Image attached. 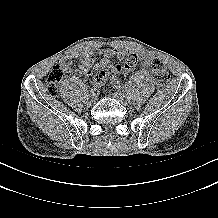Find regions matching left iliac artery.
I'll return each instance as SVG.
<instances>
[{
	"label": "left iliac artery",
	"instance_id": "left-iliac-artery-1",
	"mask_svg": "<svg viewBox=\"0 0 218 218\" xmlns=\"http://www.w3.org/2000/svg\"><path fill=\"white\" fill-rule=\"evenodd\" d=\"M116 88H118V90H120V93H126V88H123V85H116Z\"/></svg>",
	"mask_w": 218,
	"mask_h": 218
}]
</instances>
